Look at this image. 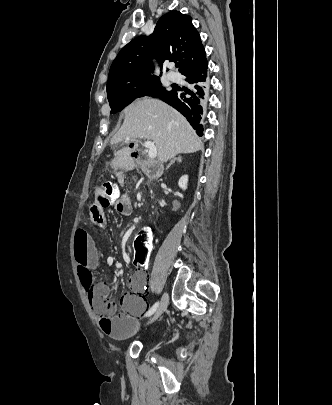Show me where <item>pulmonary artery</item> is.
<instances>
[{
	"label": "pulmonary artery",
	"mask_w": 332,
	"mask_h": 405,
	"mask_svg": "<svg viewBox=\"0 0 332 405\" xmlns=\"http://www.w3.org/2000/svg\"><path fill=\"white\" fill-rule=\"evenodd\" d=\"M168 78L173 82H178L180 80V77L174 72H169Z\"/></svg>",
	"instance_id": "obj_1"
}]
</instances>
